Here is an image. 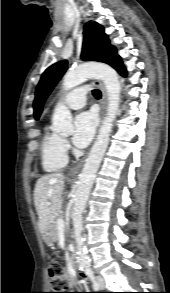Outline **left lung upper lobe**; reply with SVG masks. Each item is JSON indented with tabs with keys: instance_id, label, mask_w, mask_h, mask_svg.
Listing matches in <instances>:
<instances>
[{
	"instance_id": "1",
	"label": "left lung upper lobe",
	"mask_w": 170,
	"mask_h": 293,
	"mask_svg": "<svg viewBox=\"0 0 170 293\" xmlns=\"http://www.w3.org/2000/svg\"><path fill=\"white\" fill-rule=\"evenodd\" d=\"M84 37L81 58L88 61H100L111 64L116 57V49L110 45L108 36L98 23L88 22L84 26ZM67 69V61L57 62L51 65L43 73L37 86L34 100V117L37 120L42 112L43 104L56 83Z\"/></svg>"
}]
</instances>
